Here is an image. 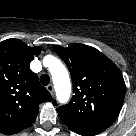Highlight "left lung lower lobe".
<instances>
[{"label":"left lung lower lobe","instance_id":"left-lung-lower-lobe-1","mask_svg":"<svg viewBox=\"0 0 136 136\" xmlns=\"http://www.w3.org/2000/svg\"><path fill=\"white\" fill-rule=\"evenodd\" d=\"M72 131L83 136H93L103 132L109 126L106 125H84V126H68Z\"/></svg>","mask_w":136,"mask_h":136}]
</instances>
